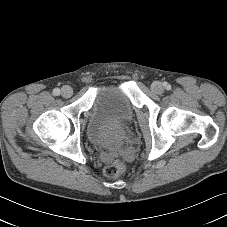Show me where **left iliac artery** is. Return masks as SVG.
Listing matches in <instances>:
<instances>
[{
  "label": "left iliac artery",
  "instance_id": "obj_1",
  "mask_svg": "<svg viewBox=\"0 0 227 227\" xmlns=\"http://www.w3.org/2000/svg\"><path fill=\"white\" fill-rule=\"evenodd\" d=\"M164 86H165L166 89H170V85L169 84L165 83Z\"/></svg>",
  "mask_w": 227,
  "mask_h": 227
}]
</instances>
